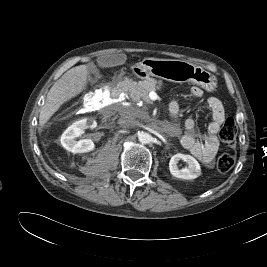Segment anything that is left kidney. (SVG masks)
I'll return each instance as SVG.
<instances>
[{
	"label": "left kidney",
	"mask_w": 267,
	"mask_h": 267,
	"mask_svg": "<svg viewBox=\"0 0 267 267\" xmlns=\"http://www.w3.org/2000/svg\"><path fill=\"white\" fill-rule=\"evenodd\" d=\"M182 159L188 163V167L179 169L178 161ZM170 173L180 179L190 180L195 179L201 175V167L198 161L191 155L176 154L171 157L169 162Z\"/></svg>",
	"instance_id": "left-kidney-1"
}]
</instances>
